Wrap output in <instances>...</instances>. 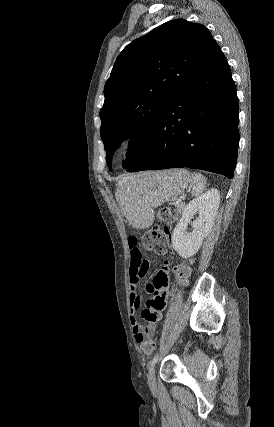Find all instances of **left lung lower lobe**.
I'll list each match as a JSON object with an SVG mask.
<instances>
[{
  "label": "left lung lower lobe",
  "mask_w": 274,
  "mask_h": 427,
  "mask_svg": "<svg viewBox=\"0 0 274 427\" xmlns=\"http://www.w3.org/2000/svg\"><path fill=\"white\" fill-rule=\"evenodd\" d=\"M238 121L235 84L214 41L176 93L150 146L126 170L188 167L231 179L237 160Z\"/></svg>",
  "instance_id": "obj_1"
}]
</instances>
